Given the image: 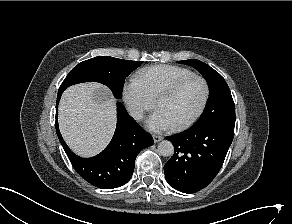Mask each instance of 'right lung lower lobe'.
<instances>
[{
    "label": "right lung lower lobe",
    "mask_w": 292,
    "mask_h": 224,
    "mask_svg": "<svg viewBox=\"0 0 292 224\" xmlns=\"http://www.w3.org/2000/svg\"><path fill=\"white\" fill-rule=\"evenodd\" d=\"M65 89L58 90L56 112ZM56 132L76 172L90 184L102 189L117 188L128 182L138 153L154 144L152 136L127 113L120 102L117 103L115 134L106 149L93 158H80L71 152L60 134L57 115Z\"/></svg>",
    "instance_id": "98d812e1"
}]
</instances>
